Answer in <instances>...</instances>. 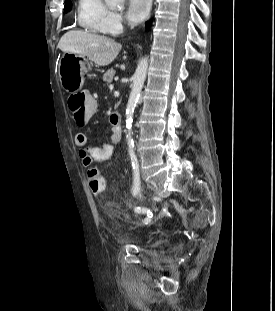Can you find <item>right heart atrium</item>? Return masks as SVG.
Returning a JSON list of instances; mask_svg holds the SVG:
<instances>
[{
    "mask_svg": "<svg viewBox=\"0 0 275 311\" xmlns=\"http://www.w3.org/2000/svg\"><path fill=\"white\" fill-rule=\"evenodd\" d=\"M123 18L117 12H111L107 22V28L110 33H118L123 29Z\"/></svg>",
    "mask_w": 275,
    "mask_h": 311,
    "instance_id": "right-heart-atrium-1",
    "label": "right heart atrium"
}]
</instances>
